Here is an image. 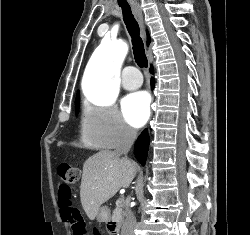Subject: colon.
I'll return each mask as SVG.
<instances>
[{
    "label": "colon",
    "instance_id": "colon-1",
    "mask_svg": "<svg viewBox=\"0 0 250 235\" xmlns=\"http://www.w3.org/2000/svg\"><path fill=\"white\" fill-rule=\"evenodd\" d=\"M59 177L58 204L61 207V216L69 224L73 235H85V225L78 211L71 203V187L78 181L79 172L69 163L58 165Z\"/></svg>",
    "mask_w": 250,
    "mask_h": 235
}]
</instances>
